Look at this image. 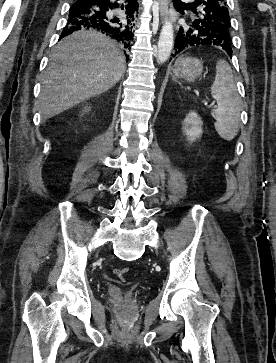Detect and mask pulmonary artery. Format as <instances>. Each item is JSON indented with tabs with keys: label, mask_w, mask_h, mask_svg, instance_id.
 <instances>
[{
	"label": "pulmonary artery",
	"mask_w": 276,
	"mask_h": 363,
	"mask_svg": "<svg viewBox=\"0 0 276 363\" xmlns=\"http://www.w3.org/2000/svg\"><path fill=\"white\" fill-rule=\"evenodd\" d=\"M184 1L190 2V1H193V0H184Z\"/></svg>",
	"instance_id": "obj_1"
}]
</instances>
